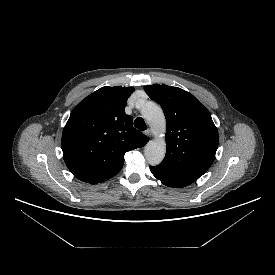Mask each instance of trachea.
I'll return each instance as SVG.
<instances>
[{
  "label": "trachea",
  "mask_w": 275,
  "mask_h": 275,
  "mask_svg": "<svg viewBox=\"0 0 275 275\" xmlns=\"http://www.w3.org/2000/svg\"><path fill=\"white\" fill-rule=\"evenodd\" d=\"M134 126H135L137 129L141 130V131H144V130L147 129V125H146V123H145V121L143 120L142 117H137V118L135 119V121H134Z\"/></svg>",
  "instance_id": "1"
}]
</instances>
